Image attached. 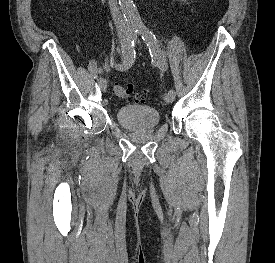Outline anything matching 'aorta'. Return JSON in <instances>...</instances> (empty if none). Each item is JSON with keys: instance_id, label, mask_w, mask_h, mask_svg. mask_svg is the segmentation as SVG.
<instances>
[{"instance_id": "aorta-1", "label": "aorta", "mask_w": 275, "mask_h": 263, "mask_svg": "<svg viewBox=\"0 0 275 263\" xmlns=\"http://www.w3.org/2000/svg\"><path fill=\"white\" fill-rule=\"evenodd\" d=\"M119 5L128 26L135 29L144 28L133 0H119ZM145 35L149 36V33L145 32Z\"/></svg>"}]
</instances>
